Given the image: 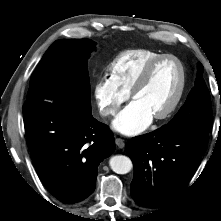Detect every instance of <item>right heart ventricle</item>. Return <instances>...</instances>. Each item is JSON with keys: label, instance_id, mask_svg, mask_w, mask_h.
<instances>
[{"label": "right heart ventricle", "instance_id": "e07e8e85", "mask_svg": "<svg viewBox=\"0 0 221 221\" xmlns=\"http://www.w3.org/2000/svg\"><path fill=\"white\" fill-rule=\"evenodd\" d=\"M163 55L150 49H129L118 54L108 65L110 79L123 92L130 91L144 68L155 58Z\"/></svg>", "mask_w": 221, "mask_h": 221}]
</instances>
